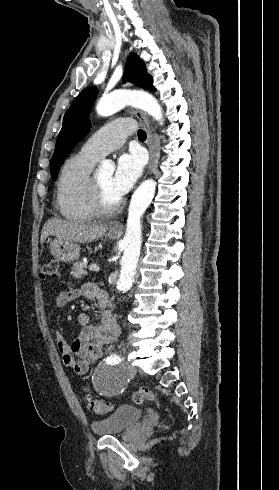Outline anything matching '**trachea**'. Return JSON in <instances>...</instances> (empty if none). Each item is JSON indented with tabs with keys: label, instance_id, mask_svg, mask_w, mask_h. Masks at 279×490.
<instances>
[{
	"label": "trachea",
	"instance_id": "1",
	"mask_svg": "<svg viewBox=\"0 0 279 490\" xmlns=\"http://www.w3.org/2000/svg\"><path fill=\"white\" fill-rule=\"evenodd\" d=\"M138 138L139 140L143 141V140H146V133L143 132V130H139L138 131Z\"/></svg>",
	"mask_w": 279,
	"mask_h": 490
}]
</instances>
